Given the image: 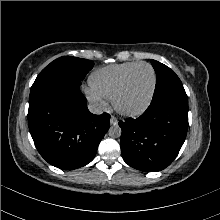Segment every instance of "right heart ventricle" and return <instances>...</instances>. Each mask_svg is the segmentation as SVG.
<instances>
[{
	"label": "right heart ventricle",
	"instance_id": "obj_1",
	"mask_svg": "<svg viewBox=\"0 0 220 220\" xmlns=\"http://www.w3.org/2000/svg\"><path fill=\"white\" fill-rule=\"evenodd\" d=\"M137 63L113 64L95 70L89 77L91 89L102 98L111 100L124 76Z\"/></svg>",
	"mask_w": 220,
	"mask_h": 220
}]
</instances>
